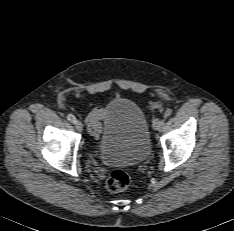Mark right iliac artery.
<instances>
[{"instance_id":"82829eb1","label":"right iliac artery","mask_w":234,"mask_h":231,"mask_svg":"<svg viewBox=\"0 0 234 231\" xmlns=\"http://www.w3.org/2000/svg\"><path fill=\"white\" fill-rule=\"evenodd\" d=\"M67 119H68L70 122H72V123H74V122L76 121L75 116L72 115V114H68V115H67Z\"/></svg>"}]
</instances>
